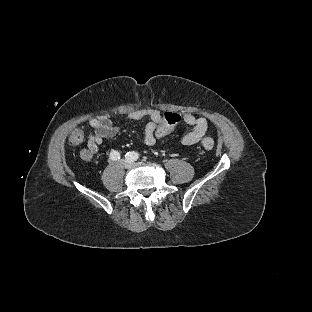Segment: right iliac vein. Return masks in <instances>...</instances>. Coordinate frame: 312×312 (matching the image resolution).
I'll return each mask as SVG.
<instances>
[{
  "label": "right iliac vein",
  "mask_w": 312,
  "mask_h": 312,
  "mask_svg": "<svg viewBox=\"0 0 312 312\" xmlns=\"http://www.w3.org/2000/svg\"><path fill=\"white\" fill-rule=\"evenodd\" d=\"M122 164H123V166H124L125 168H131L132 165H133L132 161H131V160H128V159L124 160V161L122 162Z\"/></svg>",
  "instance_id": "63e3f726"
}]
</instances>
